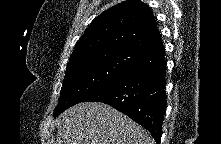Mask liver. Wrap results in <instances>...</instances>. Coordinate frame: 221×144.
<instances>
[{"label": "liver", "instance_id": "obj_1", "mask_svg": "<svg viewBox=\"0 0 221 144\" xmlns=\"http://www.w3.org/2000/svg\"><path fill=\"white\" fill-rule=\"evenodd\" d=\"M56 144H154L149 133L104 103H79L58 116Z\"/></svg>", "mask_w": 221, "mask_h": 144}]
</instances>
